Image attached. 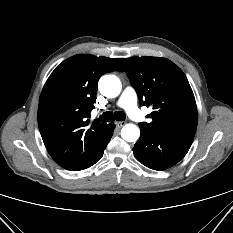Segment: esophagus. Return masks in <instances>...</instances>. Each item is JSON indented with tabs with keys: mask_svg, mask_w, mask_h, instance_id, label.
<instances>
[{
	"mask_svg": "<svg viewBox=\"0 0 233 233\" xmlns=\"http://www.w3.org/2000/svg\"><path fill=\"white\" fill-rule=\"evenodd\" d=\"M125 124H126V122H124V121L116 122V125H117L118 128L124 126Z\"/></svg>",
	"mask_w": 233,
	"mask_h": 233,
	"instance_id": "esophagus-1",
	"label": "esophagus"
}]
</instances>
